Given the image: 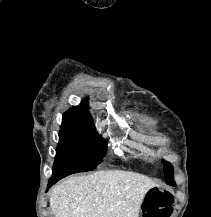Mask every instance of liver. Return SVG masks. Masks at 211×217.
Segmentation results:
<instances>
[{
	"instance_id": "obj_1",
	"label": "liver",
	"mask_w": 211,
	"mask_h": 217,
	"mask_svg": "<svg viewBox=\"0 0 211 217\" xmlns=\"http://www.w3.org/2000/svg\"><path fill=\"white\" fill-rule=\"evenodd\" d=\"M157 184L142 174L111 170L74 176L52 190L54 217H139L147 192Z\"/></svg>"
}]
</instances>
